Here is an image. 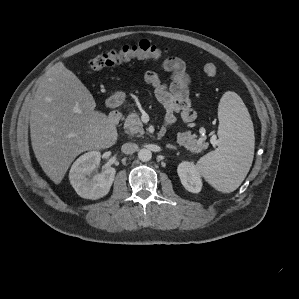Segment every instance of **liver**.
<instances>
[{
	"instance_id": "liver-1",
	"label": "liver",
	"mask_w": 299,
	"mask_h": 299,
	"mask_svg": "<svg viewBox=\"0 0 299 299\" xmlns=\"http://www.w3.org/2000/svg\"><path fill=\"white\" fill-rule=\"evenodd\" d=\"M90 91L62 62L45 74L32 101L31 143L45 174L60 184L82 152L111 147L118 138L114 122L95 110Z\"/></svg>"
}]
</instances>
